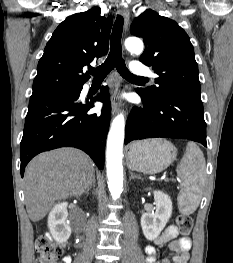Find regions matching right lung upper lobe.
I'll use <instances>...</instances> for the list:
<instances>
[{
	"mask_svg": "<svg viewBox=\"0 0 233 263\" xmlns=\"http://www.w3.org/2000/svg\"><path fill=\"white\" fill-rule=\"evenodd\" d=\"M94 7L67 17L54 31L37 66L31 97L81 87L90 78L84 69L106 55L112 19Z\"/></svg>",
	"mask_w": 233,
	"mask_h": 263,
	"instance_id": "cb5924a9",
	"label": "right lung upper lobe"
}]
</instances>
